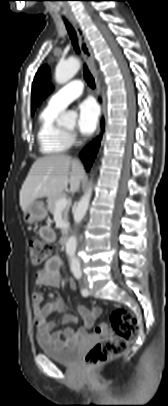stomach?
I'll list each match as a JSON object with an SVG mask.
<instances>
[{
    "mask_svg": "<svg viewBox=\"0 0 168 406\" xmlns=\"http://www.w3.org/2000/svg\"><path fill=\"white\" fill-rule=\"evenodd\" d=\"M47 214L48 211L43 201L35 200L29 208L24 211L23 220L28 224H32L43 220Z\"/></svg>",
    "mask_w": 168,
    "mask_h": 406,
    "instance_id": "obj_1",
    "label": "stomach"
}]
</instances>
